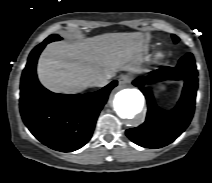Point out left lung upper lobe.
I'll use <instances>...</instances> for the list:
<instances>
[{
	"label": "left lung upper lobe",
	"mask_w": 212,
	"mask_h": 183,
	"mask_svg": "<svg viewBox=\"0 0 212 183\" xmlns=\"http://www.w3.org/2000/svg\"><path fill=\"white\" fill-rule=\"evenodd\" d=\"M172 38L175 43H177L179 41V38L176 35H172Z\"/></svg>",
	"instance_id": "5c2ea615"
}]
</instances>
